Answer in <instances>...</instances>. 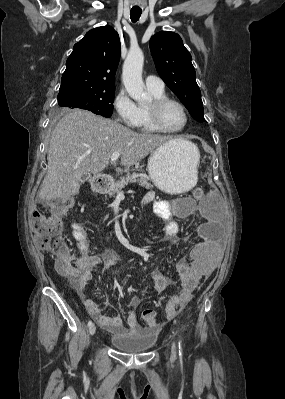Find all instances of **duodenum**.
<instances>
[{
  "label": "duodenum",
  "instance_id": "duodenum-1",
  "mask_svg": "<svg viewBox=\"0 0 285 399\" xmlns=\"http://www.w3.org/2000/svg\"><path fill=\"white\" fill-rule=\"evenodd\" d=\"M107 189H108L107 182H101L92 187V191L94 194H104L107 191Z\"/></svg>",
  "mask_w": 285,
  "mask_h": 399
}]
</instances>
